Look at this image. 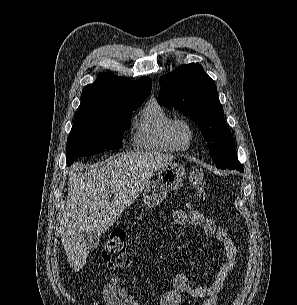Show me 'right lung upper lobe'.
<instances>
[{
    "instance_id": "right-lung-upper-lobe-1",
    "label": "right lung upper lobe",
    "mask_w": 297,
    "mask_h": 305,
    "mask_svg": "<svg viewBox=\"0 0 297 305\" xmlns=\"http://www.w3.org/2000/svg\"><path fill=\"white\" fill-rule=\"evenodd\" d=\"M151 87L149 77L132 82L125 77L101 73L93 84L84 87L78 108L105 107L126 100L146 99Z\"/></svg>"
}]
</instances>
